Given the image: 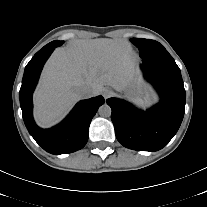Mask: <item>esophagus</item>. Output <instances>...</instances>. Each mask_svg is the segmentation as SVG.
Here are the masks:
<instances>
[{
  "label": "esophagus",
  "mask_w": 207,
  "mask_h": 207,
  "mask_svg": "<svg viewBox=\"0 0 207 207\" xmlns=\"http://www.w3.org/2000/svg\"><path fill=\"white\" fill-rule=\"evenodd\" d=\"M102 94H103V97L105 99H107V98H109L113 94V91L111 89H109V88H106V89L103 90Z\"/></svg>",
  "instance_id": "obj_1"
}]
</instances>
